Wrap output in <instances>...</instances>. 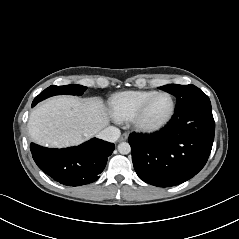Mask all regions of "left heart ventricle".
<instances>
[{
  "mask_svg": "<svg viewBox=\"0 0 239 239\" xmlns=\"http://www.w3.org/2000/svg\"><path fill=\"white\" fill-rule=\"evenodd\" d=\"M171 102L167 96L156 97L148 106L144 120L147 123H157L163 120L170 111Z\"/></svg>",
  "mask_w": 239,
  "mask_h": 239,
  "instance_id": "b2bd125f",
  "label": "left heart ventricle"
}]
</instances>
